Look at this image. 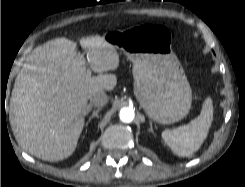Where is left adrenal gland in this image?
I'll use <instances>...</instances> for the list:
<instances>
[{
    "label": "left adrenal gland",
    "mask_w": 245,
    "mask_h": 187,
    "mask_svg": "<svg viewBox=\"0 0 245 187\" xmlns=\"http://www.w3.org/2000/svg\"><path fill=\"white\" fill-rule=\"evenodd\" d=\"M150 131L153 132L152 123L150 122Z\"/></svg>",
    "instance_id": "left-adrenal-gland-1"
}]
</instances>
